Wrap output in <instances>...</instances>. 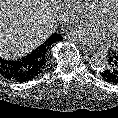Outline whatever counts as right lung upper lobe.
Wrapping results in <instances>:
<instances>
[{
	"instance_id": "right-lung-upper-lobe-1",
	"label": "right lung upper lobe",
	"mask_w": 118,
	"mask_h": 118,
	"mask_svg": "<svg viewBox=\"0 0 118 118\" xmlns=\"http://www.w3.org/2000/svg\"><path fill=\"white\" fill-rule=\"evenodd\" d=\"M57 41L56 35H52L50 39L46 42H44L42 45H40L38 48H36L32 55L35 56L40 63L38 64L41 68L43 67L46 58H47V51L52 43Z\"/></svg>"
}]
</instances>
